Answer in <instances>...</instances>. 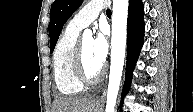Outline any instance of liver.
Masks as SVG:
<instances>
[{
	"label": "liver",
	"instance_id": "obj_1",
	"mask_svg": "<svg viewBox=\"0 0 193 112\" xmlns=\"http://www.w3.org/2000/svg\"><path fill=\"white\" fill-rule=\"evenodd\" d=\"M92 98L62 97L54 101L52 112H93Z\"/></svg>",
	"mask_w": 193,
	"mask_h": 112
}]
</instances>
